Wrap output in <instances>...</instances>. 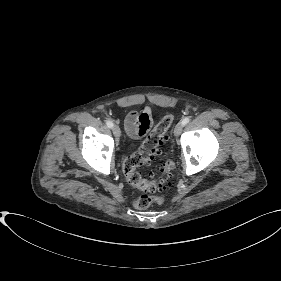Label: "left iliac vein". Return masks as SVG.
I'll return each mask as SVG.
<instances>
[{
    "instance_id": "left-iliac-vein-1",
    "label": "left iliac vein",
    "mask_w": 281,
    "mask_h": 281,
    "mask_svg": "<svg viewBox=\"0 0 281 281\" xmlns=\"http://www.w3.org/2000/svg\"><path fill=\"white\" fill-rule=\"evenodd\" d=\"M182 130H183V124L180 122L174 128V135L176 137L179 136L181 134Z\"/></svg>"
}]
</instances>
